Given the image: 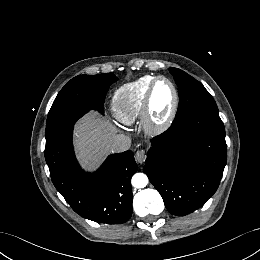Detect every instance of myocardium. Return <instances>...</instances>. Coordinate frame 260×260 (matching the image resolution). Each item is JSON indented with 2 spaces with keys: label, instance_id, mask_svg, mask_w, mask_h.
<instances>
[{
  "label": "myocardium",
  "instance_id": "obj_1",
  "mask_svg": "<svg viewBox=\"0 0 260 260\" xmlns=\"http://www.w3.org/2000/svg\"><path fill=\"white\" fill-rule=\"evenodd\" d=\"M160 81H164L168 83V85L171 87L174 96V102H173L171 112L167 117V119L162 123H156L153 120V116H152V98L156 86ZM179 105H180V97L175 84L167 77L164 76L156 77L154 81L151 83V85L149 86V89L147 90L143 107H142L141 123L144 132L148 135H153V136L160 135L166 132L172 126V124L176 119L179 110Z\"/></svg>",
  "mask_w": 260,
  "mask_h": 260
}]
</instances>
